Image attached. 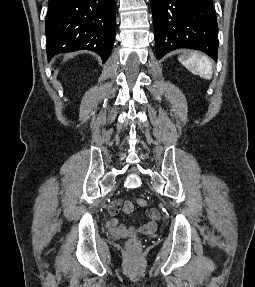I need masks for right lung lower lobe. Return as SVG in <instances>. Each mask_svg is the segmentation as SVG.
<instances>
[{
    "label": "right lung lower lobe",
    "mask_w": 255,
    "mask_h": 287,
    "mask_svg": "<svg viewBox=\"0 0 255 287\" xmlns=\"http://www.w3.org/2000/svg\"><path fill=\"white\" fill-rule=\"evenodd\" d=\"M48 7V59L86 49L107 61L115 39V0H49Z\"/></svg>",
    "instance_id": "right-lung-lower-lobe-1"
}]
</instances>
